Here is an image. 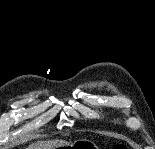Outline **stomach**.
Here are the masks:
<instances>
[{
	"label": "stomach",
	"mask_w": 155,
	"mask_h": 149,
	"mask_svg": "<svg viewBox=\"0 0 155 149\" xmlns=\"http://www.w3.org/2000/svg\"><path fill=\"white\" fill-rule=\"evenodd\" d=\"M61 148H67V149H92L97 148L96 145L88 140H79L74 143L68 144Z\"/></svg>",
	"instance_id": "obj_1"
}]
</instances>
